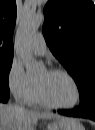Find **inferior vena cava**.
<instances>
[{"label": "inferior vena cava", "instance_id": "602c4592", "mask_svg": "<svg viewBox=\"0 0 95 130\" xmlns=\"http://www.w3.org/2000/svg\"><path fill=\"white\" fill-rule=\"evenodd\" d=\"M17 101V100H16ZM16 106H18V108L20 109V110H25V108L23 107V106H20L19 104H16Z\"/></svg>", "mask_w": 95, "mask_h": 130}]
</instances>
